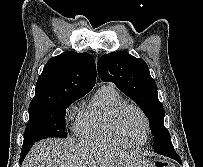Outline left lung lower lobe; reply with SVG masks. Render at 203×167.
<instances>
[{"mask_svg": "<svg viewBox=\"0 0 203 167\" xmlns=\"http://www.w3.org/2000/svg\"><path fill=\"white\" fill-rule=\"evenodd\" d=\"M153 149L155 150V152L161 155H165L177 160V153L175 152L171 140L169 139H165L154 144Z\"/></svg>", "mask_w": 203, "mask_h": 167, "instance_id": "0a47b994", "label": "left lung lower lobe"}]
</instances>
